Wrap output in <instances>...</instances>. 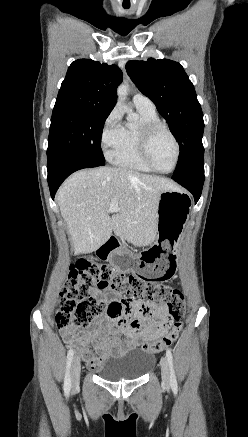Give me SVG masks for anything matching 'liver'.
Instances as JSON below:
<instances>
[{"mask_svg": "<svg viewBox=\"0 0 248 437\" xmlns=\"http://www.w3.org/2000/svg\"><path fill=\"white\" fill-rule=\"evenodd\" d=\"M177 187L167 178L123 168L101 167L72 174L57 192V203L75 253H91L114 234L134 246L156 238L159 197ZM116 199L119 211L110 217Z\"/></svg>", "mask_w": 248, "mask_h": 437, "instance_id": "obj_1", "label": "liver"}]
</instances>
